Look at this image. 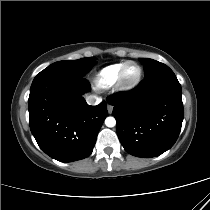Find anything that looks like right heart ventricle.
<instances>
[{
	"label": "right heart ventricle",
	"instance_id": "e07e8e85",
	"mask_svg": "<svg viewBox=\"0 0 210 210\" xmlns=\"http://www.w3.org/2000/svg\"><path fill=\"white\" fill-rule=\"evenodd\" d=\"M124 63H115L103 68L96 76V85L99 88H109L114 85L117 82L119 71Z\"/></svg>",
	"mask_w": 210,
	"mask_h": 210
}]
</instances>
